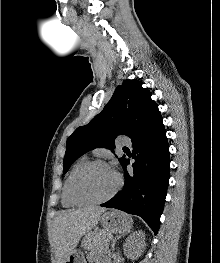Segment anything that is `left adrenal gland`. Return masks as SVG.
Segmentation results:
<instances>
[{"instance_id":"obj_1","label":"left adrenal gland","mask_w":220,"mask_h":263,"mask_svg":"<svg viewBox=\"0 0 220 263\" xmlns=\"http://www.w3.org/2000/svg\"><path fill=\"white\" fill-rule=\"evenodd\" d=\"M120 238H121V236H117L116 238H114V239L112 240V250H113V251L115 250L116 241H117L118 239H120Z\"/></svg>"}]
</instances>
